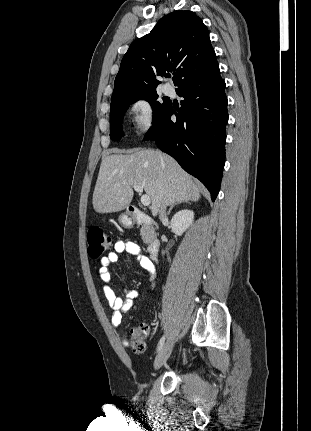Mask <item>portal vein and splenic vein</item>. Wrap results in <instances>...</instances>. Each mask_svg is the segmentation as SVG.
<instances>
[{
	"instance_id": "18ae733b",
	"label": "portal vein and splenic vein",
	"mask_w": 311,
	"mask_h": 431,
	"mask_svg": "<svg viewBox=\"0 0 311 431\" xmlns=\"http://www.w3.org/2000/svg\"><path fill=\"white\" fill-rule=\"evenodd\" d=\"M117 186H120V184H117ZM135 192H138L139 196H141V204H143V206H150L151 204V200H150V196H147V194H143L144 190L143 188H141V186H133Z\"/></svg>"
}]
</instances>
